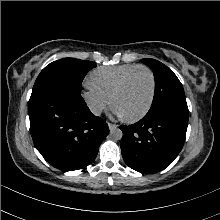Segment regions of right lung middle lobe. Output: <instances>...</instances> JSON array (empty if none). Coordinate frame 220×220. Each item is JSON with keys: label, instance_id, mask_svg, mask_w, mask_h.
Instances as JSON below:
<instances>
[{"label": "right lung middle lobe", "instance_id": "dd1d6c3e", "mask_svg": "<svg viewBox=\"0 0 220 220\" xmlns=\"http://www.w3.org/2000/svg\"><path fill=\"white\" fill-rule=\"evenodd\" d=\"M96 66L91 61L63 58L47 65L37 77L32 91L62 88L80 94L85 75Z\"/></svg>", "mask_w": 220, "mask_h": 220}]
</instances>
